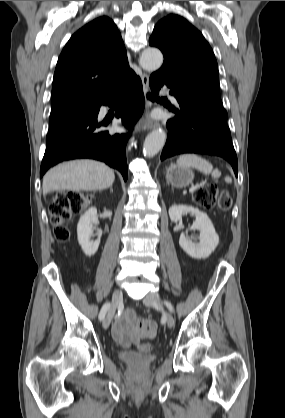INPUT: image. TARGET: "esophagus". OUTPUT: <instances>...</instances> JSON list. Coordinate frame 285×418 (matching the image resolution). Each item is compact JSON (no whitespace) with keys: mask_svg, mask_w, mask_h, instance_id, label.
<instances>
[{"mask_svg":"<svg viewBox=\"0 0 285 418\" xmlns=\"http://www.w3.org/2000/svg\"><path fill=\"white\" fill-rule=\"evenodd\" d=\"M141 81H142L144 93H148L149 92V76H148V74H146L144 72L141 75ZM149 106H150L149 101H146V118H145V122L139 123L136 126V131L150 130V129H154V128H157V127L160 126V124L158 122H155V121H153V120H151L149 118Z\"/></svg>","mask_w":285,"mask_h":418,"instance_id":"esophagus-1","label":"esophagus"}]
</instances>
